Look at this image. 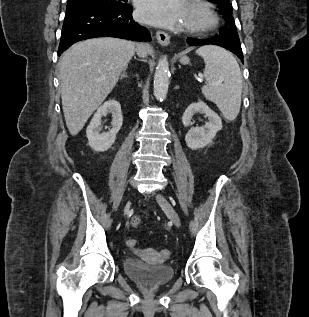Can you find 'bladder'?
<instances>
[{"instance_id": "obj_1", "label": "bladder", "mask_w": 309, "mask_h": 317, "mask_svg": "<svg viewBox=\"0 0 309 317\" xmlns=\"http://www.w3.org/2000/svg\"><path fill=\"white\" fill-rule=\"evenodd\" d=\"M124 270L134 282L145 289L158 288L174 277V270L167 265L151 264L133 257L125 259Z\"/></svg>"}]
</instances>
